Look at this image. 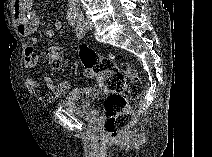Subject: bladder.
Instances as JSON below:
<instances>
[{"label": "bladder", "instance_id": "1", "mask_svg": "<svg viewBox=\"0 0 212 157\" xmlns=\"http://www.w3.org/2000/svg\"><path fill=\"white\" fill-rule=\"evenodd\" d=\"M104 99L105 94L95 87H77L72 89L58 105L87 120H96L99 114L98 104Z\"/></svg>", "mask_w": 212, "mask_h": 157}]
</instances>
